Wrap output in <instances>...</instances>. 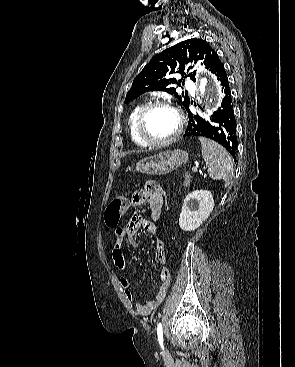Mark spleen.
<instances>
[{
	"label": "spleen",
	"mask_w": 295,
	"mask_h": 367,
	"mask_svg": "<svg viewBox=\"0 0 295 367\" xmlns=\"http://www.w3.org/2000/svg\"><path fill=\"white\" fill-rule=\"evenodd\" d=\"M202 157L209 176L213 180L225 181L228 186L233 177V162L229 153L218 143L201 137Z\"/></svg>",
	"instance_id": "obj_1"
}]
</instances>
